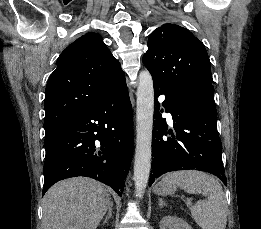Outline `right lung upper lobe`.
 <instances>
[{"label":"right lung upper lobe","mask_w":261,"mask_h":229,"mask_svg":"<svg viewBox=\"0 0 261 229\" xmlns=\"http://www.w3.org/2000/svg\"><path fill=\"white\" fill-rule=\"evenodd\" d=\"M56 64L45 90V130H57L126 83L120 63L96 33L70 44Z\"/></svg>","instance_id":"1"}]
</instances>
